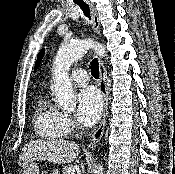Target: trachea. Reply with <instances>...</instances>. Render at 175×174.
Here are the masks:
<instances>
[{
    "label": "trachea",
    "instance_id": "trachea-1",
    "mask_svg": "<svg viewBox=\"0 0 175 174\" xmlns=\"http://www.w3.org/2000/svg\"><path fill=\"white\" fill-rule=\"evenodd\" d=\"M80 8L81 10L83 11L84 15L89 18V20L91 19L90 17V10H89V7L88 5L83 2V1H77L75 2ZM90 69H91V74L94 78L98 79L99 78V66H98V61L97 59H94L92 62H91V65H90Z\"/></svg>",
    "mask_w": 175,
    "mask_h": 174
}]
</instances>
